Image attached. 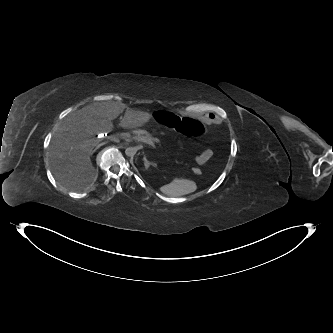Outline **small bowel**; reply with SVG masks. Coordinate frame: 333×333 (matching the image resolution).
I'll use <instances>...</instances> for the list:
<instances>
[{"mask_svg": "<svg viewBox=\"0 0 333 333\" xmlns=\"http://www.w3.org/2000/svg\"><path fill=\"white\" fill-rule=\"evenodd\" d=\"M214 119L215 117H213V120ZM212 155H213L212 151L210 149H206L198 156H196L195 161L198 165H203L206 162H208V160L212 157Z\"/></svg>", "mask_w": 333, "mask_h": 333, "instance_id": "obj_1", "label": "small bowel"}]
</instances>
